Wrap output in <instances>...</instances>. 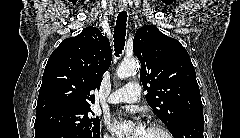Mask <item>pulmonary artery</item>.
<instances>
[{"instance_id": "e3ab8cb5", "label": "pulmonary artery", "mask_w": 240, "mask_h": 138, "mask_svg": "<svg viewBox=\"0 0 240 138\" xmlns=\"http://www.w3.org/2000/svg\"><path fill=\"white\" fill-rule=\"evenodd\" d=\"M140 100V87L136 82H129L124 87L114 91L108 97L110 104H131Z\"/></svg>"}]
</instances>
